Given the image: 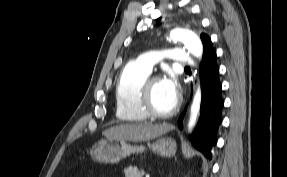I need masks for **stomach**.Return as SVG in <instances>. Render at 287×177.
Returning a JSON list of instances; mask_svg holds the SVG:
<instances>
[{"mask_svg": "<svg viewBox=\"0 0 287 177\" xmlns=\"http://www.w3.org/2000/svg\"><path fill=\"white\" fill-rule=\"evenodd\" d=\"M148 148L163 157H172L176 153V142L170 137H160ZM145 146H135L122 139L106 138L97 142L90 150L92 159L102 163H116L132 153H142Z\"/></svg>", "mask_w": 287, "mask_h": 177, "instance_id": "1", "label": "stomach"}]
</instances>
